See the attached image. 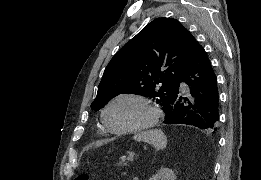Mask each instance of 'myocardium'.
Returning <instances> with one entry per match:
<instances>
[{"instance_id":"myocardium-1","label":"myocardium","mask_w":261,"mask_h":180,"mask_svg":"<svg viewBox=\"0 0 261 180\" xmlns=\"http://www.w3.org/2000/svg\"><path fill=\"white\" fill-rule=\"evenodd\" d=\"M123 99H133L137 100L141 103H143L147 107V115L143 121V123L134 129L130 130H115L114 128L111 127L108 121V112L109 109L117 102L123 100ZM158 110H157V105L156 103L147 95L140 93V92H122L117 95H115L113 98H111L103 107L102 114H101V119L102 123L105 127V129L112 134L113 136L117 137H135V136H140L143 134H146L150 132L154 124L156 123L158 119Z\"/></svg>"}]
</instances>
